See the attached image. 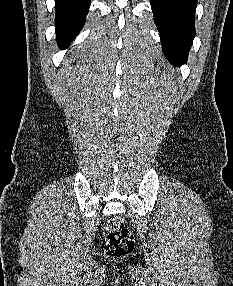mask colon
Segmentation results:
<instances>
[{
	"instance_id": "5ec220e1",
	"label": "colon",
	"mask_w": 233,
	"mask_h": 286,
	"mask_svg": "<svg viewBox=\"0 0 233 286\" xmlns=\"http://www.w3.org/2000/svg\"><path fill=\"white\" fill-rule=\"evenodd\" d=\"M134 246V237L119 217L107 222V234L102 243L103 252L109 257H120L129 253Z\"/></svg>"
}]
</instances>
